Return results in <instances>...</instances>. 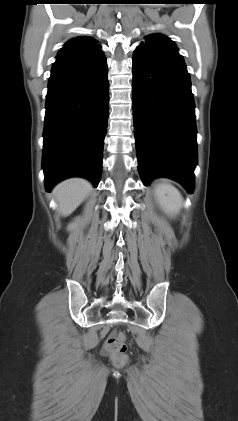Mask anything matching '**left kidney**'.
Returning a JSON list of instances; mask_svg holds the SVG:
<instances>
[{
    "instance_id": "obj_1",
    "label": "left kidney",
    "mask_w": 238,
    "mask_h": 421,
    "mask_svg": "<svg viewBox=\"0 0 238 421\" xmlns=\"http://www.w3.org/2000/svg\"><path fill=\"white\" fill-rule=\"evenodd\" d=\"M155 195L160 208L168 216L177 215L183 207V198L180 192L171 184L161 183L155 187Z\"/></svg>"
}]
</instances>
